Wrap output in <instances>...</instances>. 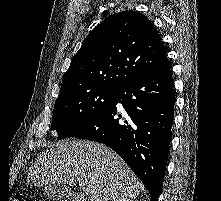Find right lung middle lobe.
<instances>
[{
  "instance_id": "right-lung-middle-lobe-1",
  "label": "right lung middle lobe",
  "mask_w": 221,
  "mask_h": 201,
  "mask_svg": "<svg viewBox=\"0 0 221 201\" xmlns=\"http://www.w3.org/2000/svg\"><path fill=\"white\" fill-rule=\"evenodd\" d=\"M114 94L113 89L92 88L57 98L51 130L57 131L59 139L67 137L108 107Z\"/></svg>"
}]
</instances>
